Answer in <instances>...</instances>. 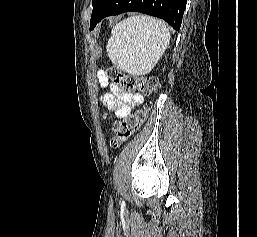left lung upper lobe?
<instances>
[{
  "instance_id": "left-lung-upper-lobe-1",
  "label": "left lung upper lobe",
  "mask_w": 257,
  "mask_h": 237,
  "mask_svg": "<svg viewBox=\"0 0 257 237\" xmlns=\"http://www.w3.org/2000/svg\"><path fill=\"white\" fill-rule=\"evenodd\" d=\"M107 1L108 0H93V3H92L93 11L91 15V20L99 14V12L101 11V9L103 8V6Z\"/></svg>"
}]
</instances>
